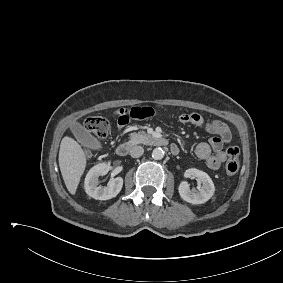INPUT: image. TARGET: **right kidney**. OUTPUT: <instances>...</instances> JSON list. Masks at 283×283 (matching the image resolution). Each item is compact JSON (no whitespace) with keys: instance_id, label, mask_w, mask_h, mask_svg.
<instances>
[{"instance_id":"ca27d5eb","label":"right kidney","mask_w":283,"mask_h":283,"mask_svg":"<svg viewBox=\"0 0 283 283\" xmlns=\"http://www.w3.org/2000/svg\"><path fill=\"white\" fill-rule=\"evenodd\" d=\"M109 167L105 163L93 166L86 175L84 188L86 193L97 200H108L116 197L122 189L123 179L121 177L110 180L107 186H98V178L105 175Z\"/></svg>"}]
</instances>
